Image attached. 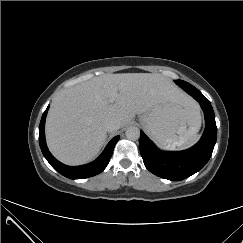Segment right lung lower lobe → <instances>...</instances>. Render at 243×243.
<instances>
[{"label":"right lung lower lobe","mask_w":243,"mask_h":243,"mask_svg":"<svg viewBox=\"0 0 243 243\" xmlns=\"http://www.w3.org/2000/svg\"><path fill=\"white\" fill-rule=\"evenodd\" d=\"M48 107L42 115L41 122L39 125V144L42 150L44 157L47 159L49 164L57 170L60 174L70 179H83L95 176L101 173L109 163V160L112 156L113 149L115 144L119 140V136L114 137L106 146L103 153L93 162L76 167L66 166L59 161H57L51 153L48 151L45 142V135H44V124L45 118L47 115Z\"/></svg>","instance_id":"right-lung-lower-lobe-1"}]
</instances>
